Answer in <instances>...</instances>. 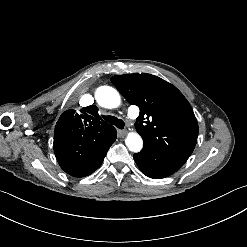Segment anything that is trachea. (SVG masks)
Here are the masks:
<instances>
[{
    "instance_id": "obj_1",
    "label": "trachea",
    "mask_w": 247,
    "mask_h": 247,
    "mask_svg": "<svg viewBox=\"0 0 247 247\" xmlns=\"http://www.w3.org/2000/svg\"><path fill=\"white\" fill-rule=\"evenodd\" d=\"M103 118L110 124L115 125L119 129L124 128V122L121 119H117L114 116L108 115V116H103Z\"/></svg>"
}]
</instances>
